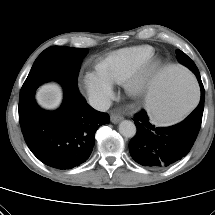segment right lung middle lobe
I'll return each mask as SVG.
<instances>
[{
	"instance_id": "obj_1",
	"label": "right lung middle lobe",
	"mask_w": 215,
	"mask_h": 215,
	"mask_svg": "<svg viewBox=\"0 0 215 215\" xmlns=\"http://www.w3.org/2000/svg\"><path fill=\"white\" fill-rule=\"evenodd\" d=\"M88 50L53 46L45 49L35 60L25 80L19 98V121L26 119L35 106L34 93L39 85L55 80L63 86L77 83L83 58Z\"/></svg>"
}]
</instances>
